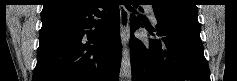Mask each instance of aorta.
<instances>
[{
  "label": "aorta",
  "mask_w": 237,
  "mask_h": 81,
  "mask_svg": "<svg viewBox=\"0 0 237 81\" xmlns=\"http://www.w3.org/2000/svg\"><path fill=\"white\" fill-rule=\"evenodd\" d=\"M119 79L120 81H131L132 79L130 51L126 45L122 49Z\"/></svg>",
  "instance_id": "1"
}]
</instances>
